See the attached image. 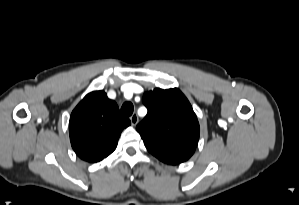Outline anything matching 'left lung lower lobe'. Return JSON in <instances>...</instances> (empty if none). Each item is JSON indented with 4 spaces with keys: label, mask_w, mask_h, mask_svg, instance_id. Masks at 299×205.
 <instances>
[{
    "label": "left lung lower lobe",
    "mask_w": 299,
    "mask_h": 205,
    "mask_svg": "<svg viewBox=\"0 0 299 205\" xmlns=\"http://www.w3.org/2000/svg\"><path fill=\"white\" fill-rule=\"evenodd\" d=\"M155 157L162 162L171 165L180 164L188 160L194 153V148L172 146L168 148L148 149Z\"/></svg>",
    "instance_id": "left-lung-lower-lobe-1"
}]
</instances>
